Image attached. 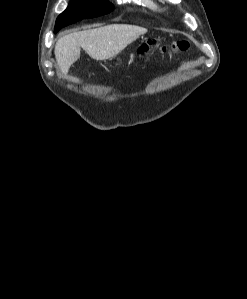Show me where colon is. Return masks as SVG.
<instances>
[{
	"label": "colon",
	"mask_w": 247,
	"mask_h": 299,
	"mask_svg": "<svg viewBox=\"0 0 247 299\" xmlns=\"http://www.w3.org/2000/svg\"><path fill=\"white\" fill-rule=\"evenodd\" d=\"M188 48L189 43L186 40H179L170 44H160L155 40H151L139 46L135 54L139 57H145L153 51H158L159 53L167 54L174 51H185Z\"/></svg>",
	"instance_id": "5ec220e1"
}]
</instances>
